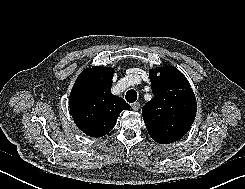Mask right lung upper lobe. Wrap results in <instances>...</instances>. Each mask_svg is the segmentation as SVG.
Wrapping results in <instances>:
<instances>
[{
  "instance_id": "1",
  "label": "right lung upper lobe",
  "mask_w": 245,
  "mask_h": 189,
  "mask_svg": "<svg viewBox=\"0 0 245 189\" xmlns=\"http://www.w3.org/2000/svg\"><path fill=\"white\" fill-rule=\"evenodd\" d=\"M114 70L93 66L77 78L70 93V112L77 127L91 137H102L112 130L119 114L130 109L121 97L111 93Z\"/></svg>"
}]
</instances>
